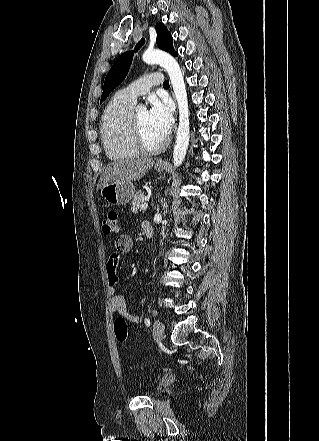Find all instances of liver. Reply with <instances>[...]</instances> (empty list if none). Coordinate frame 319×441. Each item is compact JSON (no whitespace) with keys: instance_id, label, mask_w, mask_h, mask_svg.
<instances>
[{"instance_id":"liver-1","label":"liver","mask_w":319,"mask_h":441,"mask_svg":"<svg viewBox=\"0 0 319 441\" xmlns=\"http://www.w3.org/2000/svg\"><path fill=\"white\" fill-rule=\"evenodd\" d=\"M154 165L150 158L117 160L109 163L100 176L97 190L111 183H132L141 179Z\"/></svg>"}]
</instances>
